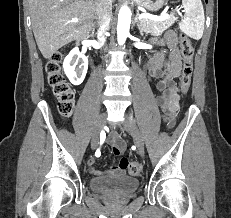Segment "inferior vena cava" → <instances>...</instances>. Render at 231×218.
Masks as SVG:
<instances>
[{
    "instance_id": "1",
    "label": "inferior vena cava",
    "mask_w": 231,
    "mask_h": 218,
    "mask_svg": "<svg viewBox=\"0 0 231 218\" xmlns=\"http://www.w3.org/2000/svg\"><path fill=\"white\" fill-rule=\"evenodd\" d=\"M96 20L98 25V40L105 42V33L109 29L112 14V0H96Z\"/></svg>"
}]
</instances>
